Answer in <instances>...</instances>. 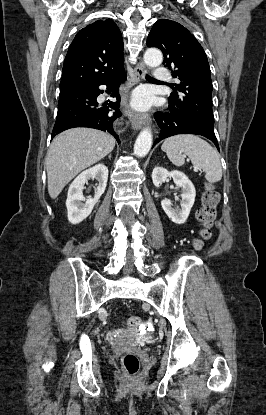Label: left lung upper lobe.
Here are the masks:
<instances>
[{
  "label": "left lung upper lobe",
  "instance_id": "1",
  "mask_svg": "<svg viewBox=\"0 0 266 415\" xmlns=\"http://www.w3.org/2000/svg\"><path fill=\"white\" fill-rule=\"evenodd\" d=\"M147 46L163 52V64L180 80L169 96V105L185 119L214 131L210 67L196 38L181 24L161 19L153 25Z\"/></svg>",
  "mask_w": 266,
  "mask_h": 415
}]
</instances>
